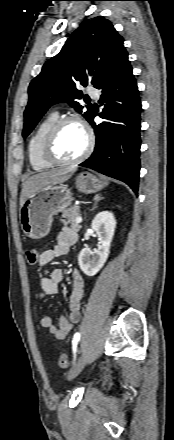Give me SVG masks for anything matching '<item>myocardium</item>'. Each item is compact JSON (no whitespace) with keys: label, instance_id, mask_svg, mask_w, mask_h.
<instances>
[{"label":"myocardium","instance_id":"obj_1","mask_svg":"<svg viewBox=\"0 0 174 440\" xmlns=\"http://www.w3.org/2000/svg\"><path fill=\"white\" fill-rule=\"evenodd\" d=\"M71 122L77 123L83 128L87 136V144L84 151L78 157L72 160H63L60 159L55 153V142L61 128L65 124ZM94 142H95L94 134L83 119L75 115L62 117L54 123V125L50 128L49 132L47 133L43 147V155L44 158L54 166L75 165L85 160L91 154L94 148Z\"/></svg>","mask_w":174,"mask_h":440}]
</instances>
